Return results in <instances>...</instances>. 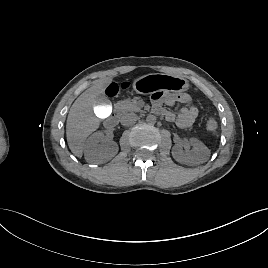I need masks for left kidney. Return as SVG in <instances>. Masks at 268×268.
Here are the masks:
<instances>
[{
  "mask_svg": "<svg viewBox=\"0 0 268 268\" xmlns=\"http://www.w3.org/2000/svg\"><path fill=\"white\" fill-rule=\"evenodd\" d=\"M172 156L180 163L199 164L208 159L209 149L196 138L183 139L173 146Z\"/></svg>",
  "mask_w": 268,
  "mask_h": 268,
  "instance_id": "5707ae66",
  "label": "left kidney"
}]
</instances>
